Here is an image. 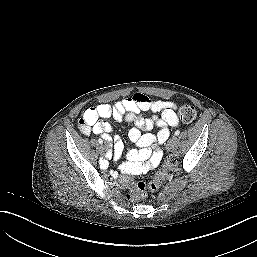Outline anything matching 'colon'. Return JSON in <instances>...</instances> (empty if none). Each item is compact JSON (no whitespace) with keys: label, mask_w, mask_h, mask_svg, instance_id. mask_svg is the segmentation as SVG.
Segmentation results:
<instances>
[{"label":"colon","mask_w":257,"mask_h":257,"mask_svg":"<svg viewBox=\"0 0 257 257\" xmlns=\"http://www.w3.org/2000/svg\"><path fill=\"white\" fill-rule=\"evenodd\" d=\"M178 115L183 123H191L195 120L197 112L193 106L183 105L179 108ZM176 163L177 159L175 157H168L166 165L155 175V177L149 183V188L153 191L157 190L161 186L169 169ZM122 183L130 190L128 198L133 200H141L145 198L147 186L144 182H134L129 175H125L123 177Z\"/></svg>","instance_id":"5ec220e1"}]
</instances>
